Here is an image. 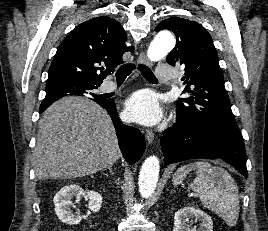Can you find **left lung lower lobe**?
<instances>
[{
    "instance_id": "obj_1",
    "label": "left lung lower lobe",
    "mask_w": 268,
    "mask_h": 231,
    "mask_svg": "<svg viewBox=\"0 0 268 231\" xmlns=\"http://www.w3.org/2000/svg\"><path fill=\"white\" fill-rule=\"evenodd\" d=\"M161 146L164 163L171 164L193 158H222L247 178L245 147L238 138L217 128L177 122L163 132Z\"/></svg>"
}]
</instances>
